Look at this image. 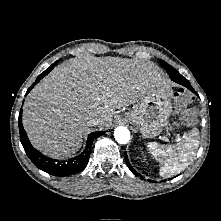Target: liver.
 <instances>
[{
  "mask_svg": "<svg viewBox=\"0 0 221 221\" xmlns=\"http://www.w3.org/2000/svg\"><path fill=\"white\" fill-rule=\"evenodd\" d=\"M169 84L153 63L84 56L56 66L27 96L23 126L32 145L64 159L79 150L88 120L111 125L115 109Z\"/></svg>",
  "mask_w": 221,
  "mask_h": 221,
  "instance_id": "obj_1",
  "label": "liver"
}]
</instances>
